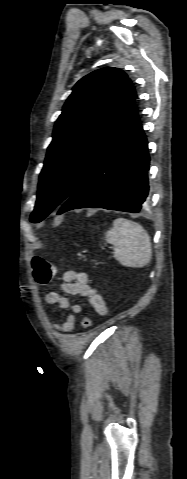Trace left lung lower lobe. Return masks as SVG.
Here are the masks:
<instances>
[{"label":"left lung lower lobe","mask_w":187,"mask_h":479,"mask_svg":"<svg viewBox=\"0 0 187 479\" xmlns=\"http://www.w3.org/2000/svg\"><path fill=\"white\" fill-rule=\"evenodd\" d=\"M150 157L134 105L113 145L95 162L58 214L79 208L138 213L146 203Z\"/></svg>","instance_id":"0a47b994"}]
</instances>
